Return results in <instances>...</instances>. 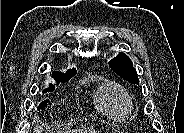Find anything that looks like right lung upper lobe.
I'll use <instances>...</instances> for the list:
<instances>
[{"mask_svg":"<svg viewBox=\"0 0 184 133\" xmlns=\"http://www.w3.org/2000/svg\"><path fill=\"white\" fill-rule=\"evenodd\" d=\"M76 74V69L73 68V69H70V70H67V73L64 74L62 72H59V71H54L52 73V77L54 78V80L57 82V83H60V82H64V81H67L69 80L72 76H74ZM51 85V84H50Z\"/></svg>","mask_w":184,"mask_h":133,"instance_id":"1","label":"right lung upper lobe"}]
</instances>
